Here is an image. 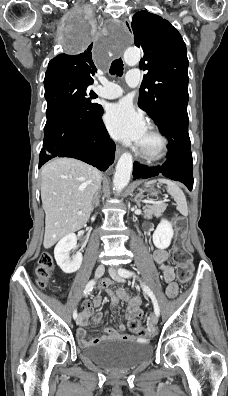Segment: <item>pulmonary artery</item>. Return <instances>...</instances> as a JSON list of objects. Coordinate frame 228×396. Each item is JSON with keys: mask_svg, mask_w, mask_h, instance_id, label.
I'll return each instance as SVG.
<instances>
[{"mask_svg": "<svg viewBox=\"0 0 228 396\" xmlns=\"http://www.w3.org/2000/svg\"><path fill=\"white\" fill-rule=\"evenodd\" d=\"M126 81L131 87L137 86L140 81L139 72L137 70H130L127 74ZM98 93L103 98L115 99L120 97L123 91L119 85L103 80L102 87L98 90Z\"/></svg>", "mask_w": 228, "mask_h": 396, "instance_id": "e3ab8cb5", "label": "pulmonary artery"}]
</instances>
